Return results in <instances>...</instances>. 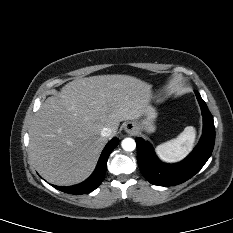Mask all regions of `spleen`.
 Masks as SVG:
<instances>
[{
  "instance_id": "spleen-1",
  "label": "spleen",
  "mask_w": 233,
  "mask_h": 233,
  "mask_svg": "<svg viewBox=\"0 0 233 233\" xmlns=\"http://www.w3.org/2000/svg\"><path fill=\"white\" fill-rule=\"evenodd\" d=\"M195 138V128L187 126L176 138L158 145L155 151L161 160L176 162L183 159L192 150Z\"/></svg>"
}]
</instances>
